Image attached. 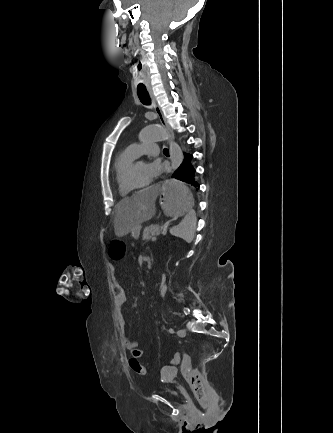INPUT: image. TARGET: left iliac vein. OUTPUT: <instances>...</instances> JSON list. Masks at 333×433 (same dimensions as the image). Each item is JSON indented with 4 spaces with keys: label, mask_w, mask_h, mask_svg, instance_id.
Returning a JSON list of instances; mask_svg holds the SVG:
<instances>
[{
    "label": "left iliac vein",
    "mask_w": 333,
    "mask_h": 433,
    "mask_svg": "<svg viewBox=\"0 0 333 433\" xmlns=\"http://www.w3.org/2000/svg\"><path fill=\"white\" fill-rule=\"evenodd\" d=\"M178 336L180 337H184L186 335V330L185 329H180L177 331Z\"/></svg>",
    "instance_id": "4c4485c4"
}]
</instances>
